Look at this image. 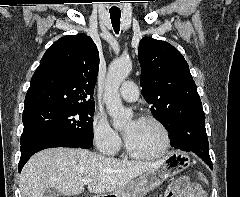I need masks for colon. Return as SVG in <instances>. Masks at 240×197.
<instances>
[{
  "label": "colon",
  "mask_w": 240,
  "mask_h": 197,
  "mask_svg": "<svg viewBox=\"0 0 240 197\" xmlns=\"http://www.w3.org/2000/svg\"><path fill=\"white\" fill-rule=\"evenodd\" d=\"M197 177H198V179H199L201 182H203V183H206V182H207V177H206L205 174H203V173H198Z\"/></svg>",
  "instance_id": "obj_1"
}]
</instances>
